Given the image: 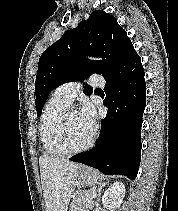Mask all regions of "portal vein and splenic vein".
I'll return each mask as SVG.
<instances>
[{"instance_id": "18ae733b", "label": "portal vein and splenic vein", "mask_w": 178, "mask_h": 211, "mask_svg": "<svg viewBox=\"0 0 178 211\" xmlns=\"http://www.w3.org/2000/svg\"><path fill=\"white\" fill-rule=\"evenodd\" d=\"M94 197H96V194L95 193L92 195V198H94Z\"/></svg>"}]
</instances>
